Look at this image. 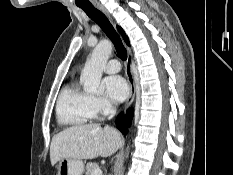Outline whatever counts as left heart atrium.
Returning <instances> with one entry per match:
<instances>
[{
	"mask_svg": "<svg viewBox=\"0 0 233 175\" xmlns=\"http://www.w3.org/2000/svg\"><path fill=\"white\" fill-rule=\"evenodd\" d=\"M103 86L107 95L118 102L125 100L129 94L128 84L121 76L106 77Z\"/></svg>",
	"mask_w": 233,
	"mask_h": 175,
	"instance_id": "39dd6f15",
	"label": "left heart atrium"
}]
</instances>
